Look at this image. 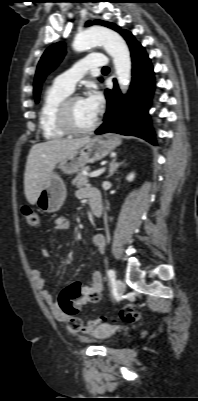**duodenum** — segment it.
Wrapping results in <instances>:
<instances>
[{
	"mask_svg": "<svg viewBox=\"0 0 198 401\" xmlns=\"http://www.w3.org/2000/svg\"><path fill=\"white\" fill-rule=\"evenodd\" d=\"M91 202L92 216L97 219L102 214V199L99 193H92L89 197Z\"/></svg>",
	"mask_w": 198,
	"mask_h": 401,
	"instance_id": "duodenum-1",
	"label": "duodenum"
}]
</instances>
